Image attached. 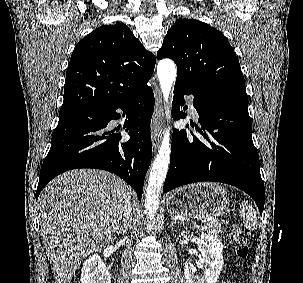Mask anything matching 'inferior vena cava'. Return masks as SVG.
I'll list each match as a JSON object with an SVG mask.
<instances>
[{
    "label": "inferior vena cava",
    "instance_id": "602c4592",
    "mask_svg": "<svg viewBox=\"0 0 303 283\" xmlns=\"http://www.w3.org/2000/svg\"><path fill=\"white\" fill-rule=\"evenodd\" d=\"M131 203H130V199L129 197L126 199V205H125V212H124V216H125V219L123 221H126L127 218L129 216H131Z\"/></svg>",
    "mask_w": 303,
    "mask_h": 283
}]
</instances>
